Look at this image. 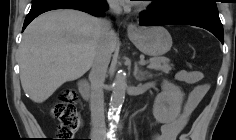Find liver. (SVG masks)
Returning a JSON list of instances; mask_svg holds the SVG:
<instances>
[{"instance_id":"1","label":"liver","mask_w":236,"mask_h":140,"mask_svg":"<svg viewBox=\"0 0 236 140\" xmlns=\"http://www.w3.org/2000/svg\"><path fill=\"white\" fill-rule=\"evenodd\" d=\"M101 33V20L78 10L49 11L34 19L19 47L24 92L43 103L61 85L82 77L92 67ZM118 44L115 34L112 52Z\"/></svg>"}]
</instances>
